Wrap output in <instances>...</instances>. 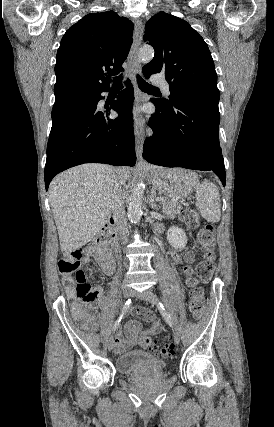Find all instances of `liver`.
<instances>
[{
    "mask_svg": "<svg viewBox=\"0 0 274 427\" xmlns=\"http://www.w3.org/2000/svg\"><path fill=\"white\" fill-rule=\"evenodd\" d=\"M129 174V168L83 164L52 180L49 200L63 255L91 241L109 221L112 194L118 182L125 184Z\"/></svg>",
    "mask_w": 274,
    "mask_h": 427,
    "instance_id": "1",
    "label": "liver"
}]
</instances>
